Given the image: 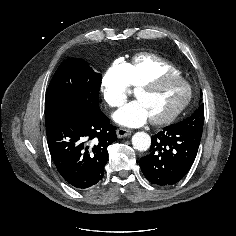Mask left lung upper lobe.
Wrapping results in <instances>:
<instances>
[{"instance_id":"1","label":"left lung upper lobe","mask_w":236,"mask_h":236,"mask_svg":"<svg viewBox=\"0 0 236 236\" xmlns=\"http://www.w3.org/2000/svg\"><path fill=\"white\" fill-rule=\"evenodd\" d=\"M203 122H204V105L201 104L199 108L190 117L174 125L177 127L186 128L202 133Z\"/></svg>"}]
</instances>
